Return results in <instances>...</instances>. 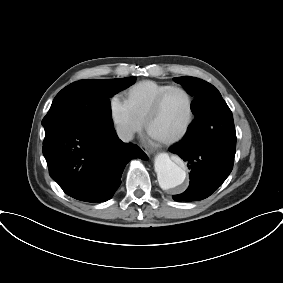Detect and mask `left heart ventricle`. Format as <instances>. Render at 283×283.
<instances>
[{"mask_svg": "<svg viewBox=\"0 0 283 283\" xmlns=\"http://www.w3.org/2000/svg\"><path fill=\"white\" fill-rule=\"evenodd\" d=\"M188 117V100L181 91L170 92L158 114L149 124V134L157 139H165L176 134Z\"/></svg>", "mask_w": 283, "mask_h": 283, "instance_id": "1", "label": "left heart ventricle"}]
</instances>
